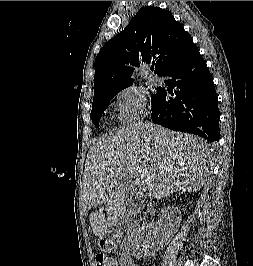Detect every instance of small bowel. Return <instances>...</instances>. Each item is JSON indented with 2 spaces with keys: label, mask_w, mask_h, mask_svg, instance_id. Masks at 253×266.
Returning a JSON list of instances; mask_svg holds the SVG:
<instances>
[{
  "label": "small bowel",
  "mask_w": 253,
  "mask_h": 266,
  "mask_svg": "<svg viewBox=\"0 0 253 266\" xmlns=\"http://www.w3.org/2000/svg\"><path fill=\"white\" fill-rule=\"evenodd\" d=\"M116 262V266H137L135 262H133L132 264H130L129 261H126L125 259H121L119 261V263L117 261Z\"/></svg>",
  "instance_id": "c3829d8e"
}]
</instances>
